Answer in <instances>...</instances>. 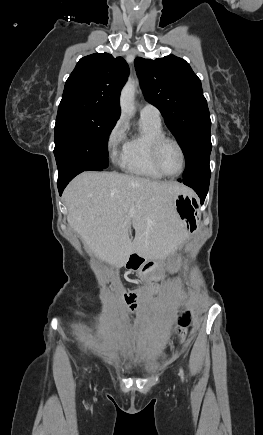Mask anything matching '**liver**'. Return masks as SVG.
Returning a JSON list of instances; mask_svg holds the SVG:
<instances>
[{
    "instance_id": "liver-1",
    "label": "liver",
    "mask_w": 263,
    "mask_h": 435,
    "mask_svg": "<svg viewBox=\"0 0 263 435\" xmlns=\"http://www.w3.org/2000/svg\"><path fill=\"white\" fill-rule=\"evenodd\" d=\"M187 188L116 172H84L66 187L68 224L86 248L116 268L132 253L165 260L181 246L187 229L174 200ZM133 209V211H131ZM133 226L132 241L129 230Z\"/></svg>"
}]
</instances>
